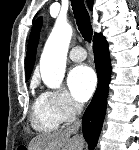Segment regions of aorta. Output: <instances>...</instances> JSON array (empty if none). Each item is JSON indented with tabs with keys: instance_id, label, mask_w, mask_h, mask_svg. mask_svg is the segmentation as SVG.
Here are the masks:
<instances>
[{
	"instance_id": "1",
	"label": "aorta",
	"mask_w": 139,
	"mask_h": 150,
	"mask_svg": "<svg viewBox=\"0 0 139 150\" xmlns=\"http://www.w3.org/2000/svg\"><path fill=\"white\" fill-rule=\"evenodd\" d=\"M71 36L72 27L57 20L40 59L41 77L49 88H59L64 78Z\"/></svg>"
}]
</instances>
